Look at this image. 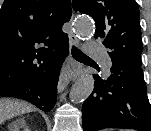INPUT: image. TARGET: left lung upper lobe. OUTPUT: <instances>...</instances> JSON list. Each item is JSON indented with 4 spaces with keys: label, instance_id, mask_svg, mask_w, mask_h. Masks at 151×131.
Returning a JSON list of instances; mask_svg holds the SVG:
<instances>
[{
    "label": "left lung upper lobe",
    "instance_id": "5c2ea615",
    "mask_svg": "<svg viewBox=\"0 0 151 131\" xmlns=\"http://www.w3.org/2000/svg\"><path fill=\"white\" fill-rule=\"evenodd\" d=\"M75 11L90 15L115 66L141 67L139 9L134 0H73Z\"/></svg>",
    "mask_w": 151,
    "mask_h": 131
}]
</instances>
